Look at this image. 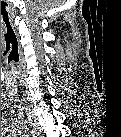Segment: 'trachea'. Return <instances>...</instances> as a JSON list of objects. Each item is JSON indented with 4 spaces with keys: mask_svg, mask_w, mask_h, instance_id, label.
Returning a JSON list of instances; mask_svg holds the SVG:
<instances>
[{
    "mask_svg": "<svg viewBox=\"0 0 121 137\" xmlns=\"http://www.w3.org/2000/svg\"><path fill=\"white\" fill-rule=\"evenodd\" d=\"M1 14L3 17V33L10 50L8 57V69L10 70L19 61V46L10 13L5 6L1 8Z\"/></svg>",
    "mask_w": 121,
    "mask_h": 137,
    "instance_id": "1",
    "label": "trachea"
}]
</instances>
